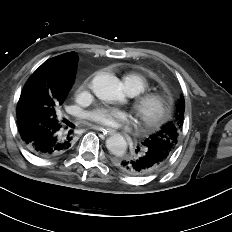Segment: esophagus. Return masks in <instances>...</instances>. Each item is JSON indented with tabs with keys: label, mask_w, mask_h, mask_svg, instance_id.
<instances>
[{
	"label": "esophagus",
	"mask_w": 232,
	"mask_h": 232,
	"mask_svg": "<svg viewBox=\"0 0 232 232\" xmlns=\"http://www.w3.org/2000/svg\"><path fill=\"white\" fill-rule=\"evenodd\" d=\"M93 129L102 132L103 135H110L114 132L113 130L105 129V128L100 127V126H94Z\"/></svg>",
	"instance_id": "34e87169"
}]
</instances>
